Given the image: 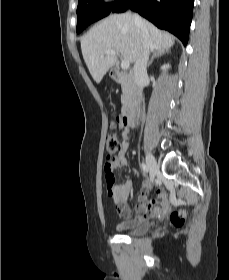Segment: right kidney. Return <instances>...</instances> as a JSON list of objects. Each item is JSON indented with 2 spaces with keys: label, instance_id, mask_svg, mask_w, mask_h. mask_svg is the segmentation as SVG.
Listing matches in <instances>:
<instances>
[{
  "label": "right kidney",
  "instance_id": "1",
  "mask_svg": "<svg viewBox=\"0 0 229 280\" xmlns=\"http://www.w3.org/2000/svg\"><path fill=\"white\" fill-rule=\"evenodd\" d=\"M170 67V65L169 64H167V65H163L162 67H161V70H166V69H168Z\"/></svg>",
  "mask_w": 229,
  "mask_h": 280
}]
</instances>
